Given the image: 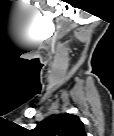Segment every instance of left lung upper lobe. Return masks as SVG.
<instances>
[{
  "label": "left lung upper lobe",
  "instance_id": "1",
  "mask_svg": "<svg viewBox=\"0 0 114 136\" xmlns=\"http://www.w3.org/2000/svg\"><path fill=\"white\" fill-rule=\"evenodd\" d=\"M37 136H83L84 126L78 116L73 114H59L51 116L34 128Z\"/></svg>",
  "mask_w": 114,
  "mask_h": 136
}]
</instances>
